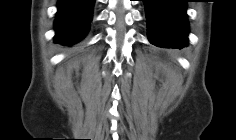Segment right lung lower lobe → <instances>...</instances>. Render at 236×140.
<instances>
[{
  "instance_id": "right-lung-lower-lobe-1",
  "label": "right lung lower lobe",
  "mask_w": 236,
  "mask_h": 140,
  "mask_svg": "<svg viewBox=\"0 0 236 140\" xmlns=\"http://www.w3.org/2000/svg\"><path fill=\"white\" fill-rule=\"evenodd\" d=\"M95 0H58L55 42L73 45L88 32Z\"/></svg>"
}]
</instances>
